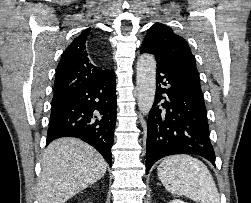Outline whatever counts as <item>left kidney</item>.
<instances>
[{
    "instance_id": "obj_1",
    "label": "left kidney",
    "mask_w": 251,
    "mask_h": 203,
    "mask_svg": "<svg viewBox=\"0 0 251 203\" xmlns=\"http://www.w3.org/2000/svg\"><path fill=\"white\" fill-rule=\"evenodd\" d=\"M170 203H187V202H184V201L179 200V199H174Z\"/></svg>"
}]
</instances>
